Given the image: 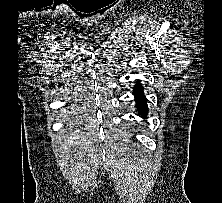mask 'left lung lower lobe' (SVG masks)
<instances>
[{"label": "left lung lower lobe", "instance_id": "obj_1", "mask_svg": "<svg viewBox=\"0 0 222 203\" xmlns=\"http://www.w3.org/2000/svg\"><path fill=\"white\" fill-rule=\"evenodd\" d=\"M143 87L140 84H137L134 87V95H135V99L137 100V109L139 114L143 115V117H145L146 113H147V105L146 102L147 100L145 99V97L143 96Z\"/></svg>", "mask_w": 222, "mask_h": 203}]
</instances>
